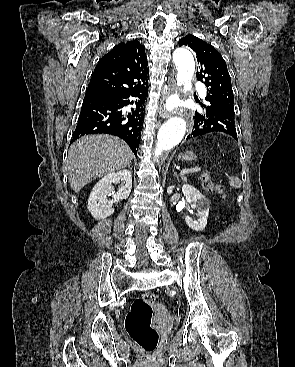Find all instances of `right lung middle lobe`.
I'll use <instances>...</instances> for the list:
<instances>
[{
    "label": "right lung middle lobe",
    "mask_w": 295,
    "mask_h": 367,
    "mask_svg": "<svg viewBox=\"0 0 295 367\" xmlns=\"http://www.w3.org/2000/svg\"><path fill=\"white\" fill-rule=\"evenodd\" d=\"M101 93H104V92L97 91V90H87L86 91V94H101Z\"/></svg>",
    "instance_id": "1"
}]
</instances>
